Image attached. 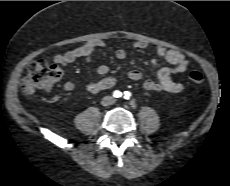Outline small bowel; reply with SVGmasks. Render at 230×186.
<instances>
[{
    "label": "small bowel",
    "mask_w": 230,
    "mask_h": 186,
    "mask_svg": "<svg viewBox=\"0 0 230 186\" xmlns=\"http://www.w3.org/2000/svg\"><path fill=\"white\" fill-rule=\"evenodd\" d=\"M104 43L100 40H93L86 42L80 47L58 54L54 57V61L61 66H67L78 59H85L90 61L97 48L102 47ZM147 47V44L143 41H137L133 44L135 50H142ZM116 58L123 61L127 58V52L124 49H118L116 51ZM164 60L169 63V66H163L157 68L159 61ZM152 66L157 68V79H147L143 82V88L146 91L156 92H168V93H179L184 89V85L180 82H176L172 79L173 74L184 73L188 66L189 61L185 54L175 49H168L164 46L156 47V57L152 60ZM109 67L102 64L97 67L96 74L97 79L90 81L86 89L91 94H97L100 91L113 88L117 83V78L109 76ZM129 79L133 81H139L143 78V74L139 70H130L127 72ZM66 91H73L76 85L67 81L63 85Z\"/></svg>",
    "instance_id": "small-bowel-1"
}]
</instances>
